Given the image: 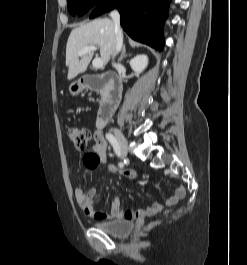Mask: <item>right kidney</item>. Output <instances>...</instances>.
<instances>
[{
    "label": "right kidney",
    "mask_w": 247,
    "mask_h": 265,
    "mask_svg": "<svg viewBox=\"0 0 247 265\" xmlns=\"http://www.w3.org/2000/svg\"><path fill=\"white\" fill-rule=\"evenodd\" d=\"M132 70L137 74L142 73L148 65V57L146 55H137L129 62Z\"/></svg>",
    "instance_id": "1"
}]
</instances>
